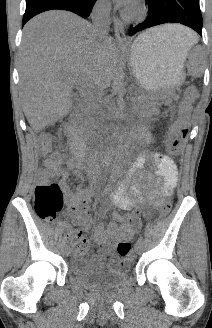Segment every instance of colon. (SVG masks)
Returning a JSON list of instances; mask_svg holds the SVG:
<instances>
[{
    "label": "colon",
    "instance_id": "1",
    "mask_svg": "<svg viewBox=\"0 0 212 328\" xmlns=\"http://www.w3.org/2000/svg\"><path fill=\"white\" fill-rule=\"evenodd\" d=\"M198 90L195 87L187 88L184 101L181 104L183 117L177 120L170 129V138L168 140V149L178 155L181 151L182 143L189 131L188 114L192 105L198 98ZM50 139L43 137L38 144V150L41 154H46L50 149ZM64 204V193L58 183H41L35 187L34 208L37 216L46 221L52 222L61 211ZM172 209L171 197L168 195L160 208V215L166 217ZM74 248L82 247L85 242L81 232H75L67 236ZM117 251L123 258L130 257L131 244L128 241H122L118 244Z\"/></svg>",
    "mask_w": 212,
    "mask_h": 328
}]
</instances>
